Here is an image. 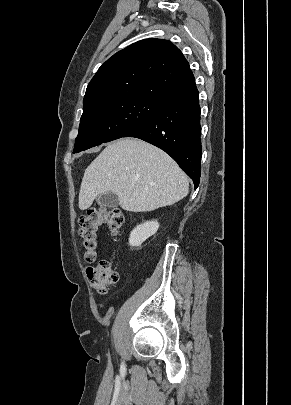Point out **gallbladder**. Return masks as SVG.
Segmentation results:
<instances>
[{
    "label": "gallbladder",
    "mask_w": 291,
    "mask_h": 405,
    "mask_svg": "<svg viewBox=\"0 0 291 405\" xmlns=\"http://www.w3.org/2000/svg\"><path fill=\"white\" fill-rule=\"evenodd\" d=\"M96 201L99 206L105 208H117L119 205V199L117 195L112 192H107L98 196Z\"/></svg>",
    "instance_id": "gallbladder-1"
}]
</instances>
